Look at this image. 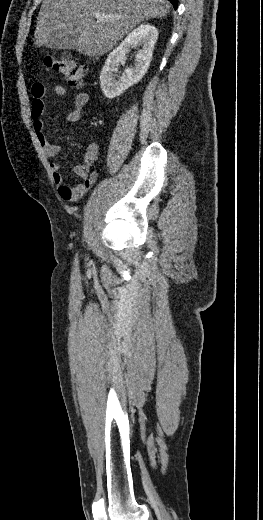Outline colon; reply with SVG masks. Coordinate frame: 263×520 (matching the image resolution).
<instances>
[{"label": "colon", "instance_id": "5ec220e1", "mask_svg": "<svg viewBox=\"0 0 263 520\" xmlns=\"http://www.w3.org/2000/svg\"><path fill=\"white\" fill-rule=\"evenodd\" d=\"M43 64L61 75L74 88L83 85L84 77L87 72L85 65L74 62L68 57H58L47 55L42 59Z\"/></svg>", "mask_w": 263, "mask_h": 520}]
</instances>
